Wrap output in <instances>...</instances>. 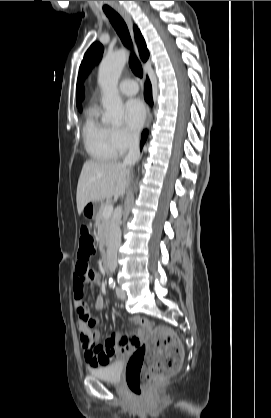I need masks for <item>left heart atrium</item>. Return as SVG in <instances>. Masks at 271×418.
Returning a JSON list of instances; mask_svg holds the SVG:
<instances>
[{
	"instance_id": "39dd6f15",
	"label": "left heart atrium",
	"mask_w": 271,
	"mask_h": 418,
	"mask_svg": "<svg viewBox=\"0 0 271 418\" xmlns=\"http://www.w3.org/2000/svg\"><path fill=\"white\" fill-rule=\"evenodd\" d=\"M146 119V110L139 99H131L125 105V122L127 127L137 132Z\"/></svg>"
}]
</instances>
